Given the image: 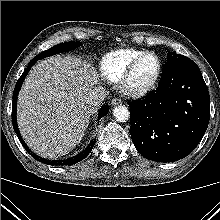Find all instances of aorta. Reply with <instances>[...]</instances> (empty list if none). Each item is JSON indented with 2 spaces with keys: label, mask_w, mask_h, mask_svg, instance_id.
Wrapping results in <instances>:
<instances>
[{
  "label": "aorta",
  "mask_w": 220,
  "mask_h": 220,
  "mask_svg": "<svg viewBox=\"0 0 220 220\" xmlns=\"http://www.w3.org/2000/svg\"><path fill=\"white\" fill-rule=\"evenodd\" d=\"M113 115L118 122H126L129 119L130 112L124 105L116 106L113 110Z\"/></svg>",
  "instance_id": "aorta-1"
}]
</instances>
